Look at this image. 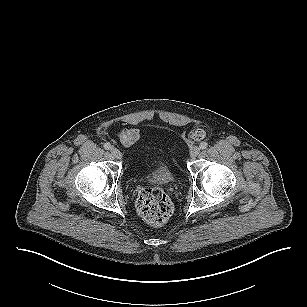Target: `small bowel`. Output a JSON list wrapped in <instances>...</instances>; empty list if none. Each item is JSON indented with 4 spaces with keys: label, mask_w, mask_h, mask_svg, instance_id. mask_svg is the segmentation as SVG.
I'll use <instances>...</instances> for the list:
<instances>
[{
    "label": "small bowel",
    "mask_w": 307,
    "mask_h": 307,
    "mask_svg": "<svg viewBox=\"0 0 307 307\" xmlns=\"http://www.w3.org/2000/svg\"><path fill=\"white\" fill-rule=\"evenodd\" d=\"M117 138L125 147L134 145L140 138V131L138 128H127L122 129L118 134Z\"/></svg>",
    "instance_id": "obj_1"
}]
</instances>
